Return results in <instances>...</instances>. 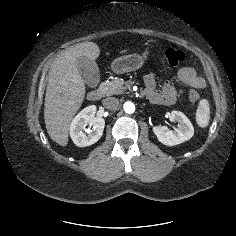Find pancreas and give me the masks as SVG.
I'll return each mask as SVG.
<instances>
[{"label":"pancreas","instance_id":"cf45deb5","mask_svg":"<svg viewBox=\"0 0 236 236\" xmlns=\"http://www.w3.org/2000/svg\"><path fill=\"white\" fill-rule=\"evenodd\" d=\"M103 86L104 93L107 96L122 94L126 91V87L124 86V81L122 79L107 81Z\"/></svg>","mask_w":236,"mask_h":236}]
</instances>
